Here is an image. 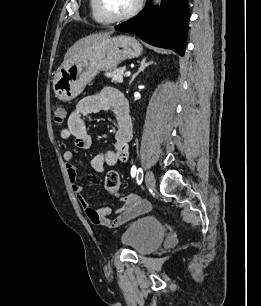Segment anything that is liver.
<instances>
[{"mask_svg":"<svg viewBox=\"0 0 261 306\" xmlns=\"http://www.w3.org/2000/svg\"><path fill=\"white\" fill-rule=\"evenodd\" d=\"M113 31L109 32H101V33H96L92 34L89 36H86L79 41H77L72 47H70L67 51V53L64 56V62L68 61L69 59L73 58L76 54H78L82 49L85 47L101 40L106 37H109Z\"/></svg>","mask_w":261,"mask_h":306,"instance_id":"1","label":"liver"}]
</instances>
